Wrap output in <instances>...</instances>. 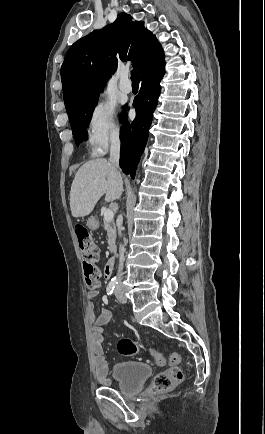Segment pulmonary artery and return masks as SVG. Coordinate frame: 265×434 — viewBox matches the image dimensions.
<instances>
[{
    "mask_svg": "<svg viewBox=\"0 0 265 434\" xmlns=\"http://www.w3.org/2000/svg\"><path fill=\"white\" fill-rule=\"evenodd\" d=\"M129 79V73L125 72L122 75V80H128ZM119 89L125 93L128 94L133 89V82L132 81H120L119 82Z\"/></svg>",
    "mask_w": 265,
    "mask_h": 434,
    "instance_id": "pulmonary-artery-1",
    "label": "pulmonary artery"
}]
</instances>
